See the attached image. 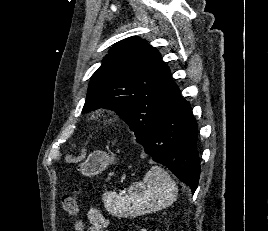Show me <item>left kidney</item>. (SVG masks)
<instances>
[{
  "label": "left kidney",
  "instance_id": "1",
  "mask_svg": "<svg viewBox=\"0 0 268 231\" xmlns=\"http://www.w3.org/2000/svg\"><path fill=\"white\" fill-rule=\"evenodd\" d=\"M141 231H147L146 229H141Z\"/></svg>",
  "mask_w": 268,
  "mask_h": 231
}]
</instances>
